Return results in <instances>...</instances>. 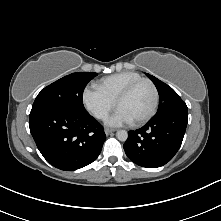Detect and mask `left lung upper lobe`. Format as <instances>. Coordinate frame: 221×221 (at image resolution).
<instances>
[{
	"label": "left lung upper lobe",
	"mask_w": 221,
	"mask_h": 221,
	"mask_svg": "<svg viewBox=\"0 0 221 221\" xmlns=\"http://www.w3.org/2000/svg\"><path fill=\"white\" fill-rule=\"evenodd\" d=\"M146 75L155 84L159 93V108L156 115L153 117L154 119L174 111H187L185 102L170 86L148 73H146Z\"/></svg>",
	"instance_id": "1"
}]
</instances>
